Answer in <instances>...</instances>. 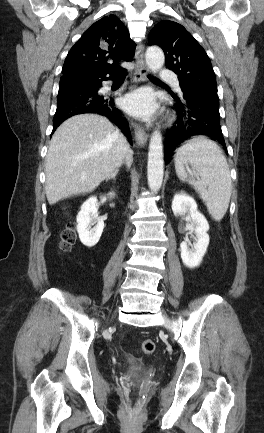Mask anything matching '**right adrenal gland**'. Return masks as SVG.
<instances>
[{
	"label": "right adrenal gland",
	"instance_id": "obj_1",
	"mask_svg": "<svg viewBox=\"0 0 264 433\" xmlns=\"http://www.w3.org/2000/svg\"><path fill=\"white\" fill-rule=\"evenodd\" d=\"M118 174V170H116L114 173H112L107 179L106 182H108L109 180L113 179L114 181L116 180V175Z\"/></svg>",
	"mask_w": 264,
	"mask_h": 433
}]
</instances>
